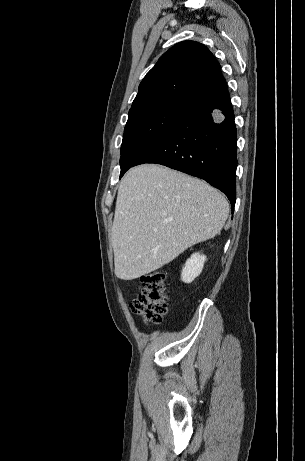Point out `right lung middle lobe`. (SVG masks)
Here are the masks:
<instances>
[{"label": "right lung middle lobe", "mask_w": 305, "mask_h": 461, "mask_svg": "<svg viewBox=\"0 0 305 461\" xmlns=\"http://www.w3.org/2000/svg\"><path fill=\"white\" fill-rule=\"evenodd\" d=\"M190 106L161 103L129 112L121 145V170L161 140Z\"/></svg>", "instance_id": "dd1d6c3e"}]
</instances>
